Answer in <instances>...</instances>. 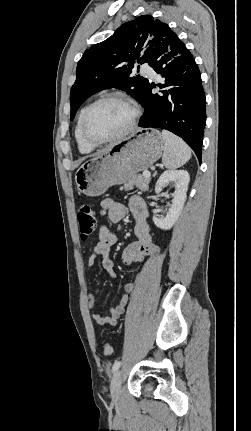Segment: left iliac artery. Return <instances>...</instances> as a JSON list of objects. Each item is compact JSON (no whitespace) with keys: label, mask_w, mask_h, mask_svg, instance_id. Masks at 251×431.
Returning <instances> with one entry per match:
<instances>
[{"label":"left iliac artery","mask_w":251,"mask_h":431,"mask_svg":"<svg viewBox=\"0 0 251 431\" xmlns=\"http://www.w3.org/2000/svg\"><path fill=\"white\" fill-rule=\"evenodd\" d=\"M121 366V362L120 361H115L112 367L113 372L117 371L119 369V367Z\"/></svg>","instance_id":"obj_1"}]
</instances>
